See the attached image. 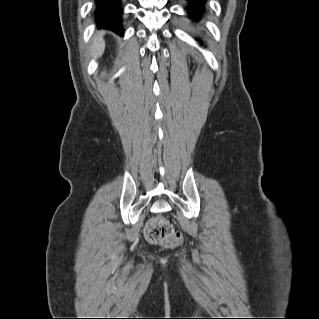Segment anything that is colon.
<instances>
[{
	"mask_svg": "<svg viewBox=\"0 0 319 319\" xmlns=\"http://www.w3.org/2000/svg\"><path fill=\"white\" fill-rule=\"evenodd\" d=\"M145 235L150 242L169 246H179L183 241L182 234L175 232L170 221L161 217L149 220L145 227Z\"/></svg>",
	"mask_w": 319,
	"mask_h": 319,
	"instance_id": "colon-1",
	"label": "colon"
}]
</instances>
